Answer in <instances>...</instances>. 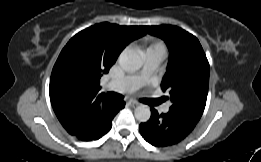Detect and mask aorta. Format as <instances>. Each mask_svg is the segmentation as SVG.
I'll return each mask as SVG.
<instances>
[{
    "label": "aorta",
    "instance_id": "1",
    "mask_svg": "<svg viewBox=\"0 0 261 162\" xmlns=\"http://www.w3.org/2000/svg\"><path fill=\"white\" fill-rule=\"evenodd\" d=\"M141 54L133 49L123 51L119 56V65L126 72H135L142 67ZM135 118L140 122H147L150 119L151 111L147 105L137 106L134 110Z\"/></svg>",
    "mask_w": 261,
    "mask_h": 162
}]
</instances>
